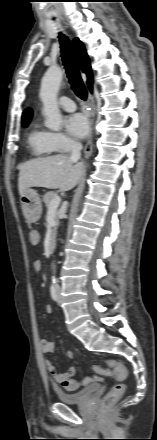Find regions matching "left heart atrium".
Here are the masks:
<instances>
[{"label": "left heart atrium", "mask_w": 157, "mask_h": 440, "mask_svg": "<svg viewBox=\"0 0 157 440\" xmlns=\"http://www.w3.org/2000/svg\"><path fill=\"white\" fill-rule=\"evenodd\" d=\"M65 127L68 134L78 140L86 138L89 134V123L85 116L72 114L65 118Z\"/></svg>", "instance_id": "39dd6f15"}]
</instances>
